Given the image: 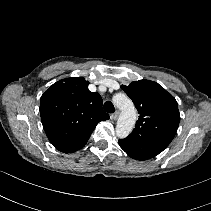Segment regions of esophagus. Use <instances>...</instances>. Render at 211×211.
I'll list each match as a JSON object with an SVG mask.
<instances>
[{
    "instance_id": "34e87169",
    "label": "esophagus",
    "mask_w": 211,
    "mask_h": 211,
    "mask_svg": "<svg viewBox=\"0 0 211 211\" xmlns=\"http://www.w3.org/2000/svg\"><path fill=\"white\" fill-rule=\"evenodd\" d=\"M120 112L117 110L111 115V119L117 120L119 117Z\"/></svg>"
}]
</instances>
